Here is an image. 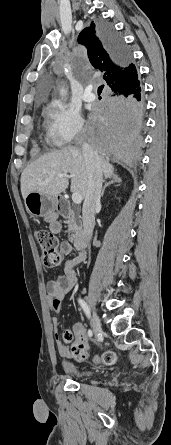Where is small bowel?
Listing matches in <instances>:
<instances>
[{"instance_id":"obj_1","label":"small bowel","mask_w":171,"mask_h":445,"mask_svg":"<svg viewBox=\"0 0 171 445\" xmlns=\"http://www.w3.org/2000/svg\"><path fill=\"white\" fill-rule=\"evenodd\" d=\"M50 231L53 234H59L61 232V224L58 222H53L50 224ZM73 251L72 245L64 241L60 244L59 252L62 256L69 255ZM86 258L85 252H80L76 257L69 259L66 261L63 269V274L59 276L55 280H51L47 283V291H48V303L51 306L52 310L56 314H60L62 311V300L64 297L72 290V288L78 282V276L76 272V266L83 262ZM52 323L55 327L59 324V318L57 316L52 318ZM73 332L75 336V343L83 344L87 349L88 338L83 325L77 323L73 326ZM57 338V334H56ZM57 349L59 354L64 358H72L74 357L71 349L62 344L61 342H57ZM68 366V364H66Z\"/></svg>"}]
</instances>
